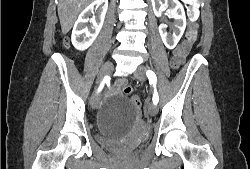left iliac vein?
Masks as SVG:
<instances>
[{
    "mask_svg": "<svg viewBox=\"0 0 250 169\" xmlns=\"http://www.w3.org/2000/svg\"><path fill=\"white\" fill-rule=\"evenodd\" d=\"M146 71H147V68L145 66H139L136 73H135V78L139 81H142L144 82L145 79H146ZM147 109H148V112L150 113V115H156L157 114V105L154 104V103H148L147 104Z\"/></svg>",
    "mask_w": 250,
    "mask_h": 169,
    "instance_id": "4c4485c4",
    "label": "left iliac vein"
}]
</instances>
